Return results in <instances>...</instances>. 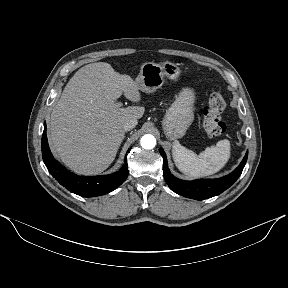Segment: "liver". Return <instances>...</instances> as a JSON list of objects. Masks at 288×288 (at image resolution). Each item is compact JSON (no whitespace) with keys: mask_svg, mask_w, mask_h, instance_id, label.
Listing matches in <instances>:
<instances>
[{"mask_svg":"<svg viewBox=\"0 0 288 288\" xmlns=\"http://www.w3.org/2000/svg\"><path fill=\"white\" fill-rule=\"evenodd\" d=\"M141 100L138 85L129 75H118L106 62L80 68L65 86L51 113L48 136L62 162L84 175L109 167L124 139V123L140 119L141 106L118 107L122 95Z\"/></svg>","mask_w":288,"mask_h":288,"instance_id":"obj_1","label":"liver"}]
</instances>
